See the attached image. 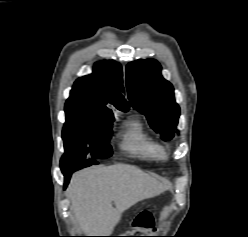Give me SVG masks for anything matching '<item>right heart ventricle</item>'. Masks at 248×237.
Returning <instances> with one entry per match:
<instances>
[{
    "label": "right heart ventricle",
    "instance_id": "obj_1",
    "mask_svg": "<svg viewBox=\"0 0 248 237\" xmlns=\"http://www.w3.org/2000/svg\"><path fill=\"white\" fill-rule=\"evenodd\" d=\"M117 136L120 150L128 156L140 160L155 158V141L139 120L125 123Z\"/></svg>",
    "mask_w": 248,
    "mask_h": 237
}]
</instances>
